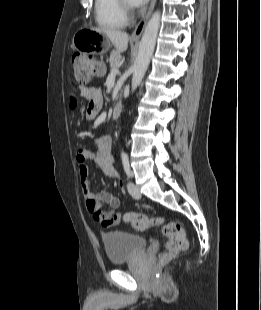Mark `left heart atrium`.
Here are the masks:
<instances>
[{
    "label": "left heart atrium",
    "mask_w": 261,
    "mask_h": 310,
    "mask_svg": "<svg viewBox=\"0 0 261 310\" xmlns=\"http://www.w3.org/2000/svg\"><path fill=\"white\" fill-rule=\"evenodd\" d=\"M148 0H129V3L134 7H142Z\"/></svg>",
    "instance_id": "left-heart-atrium-1"
}]
</instances>
